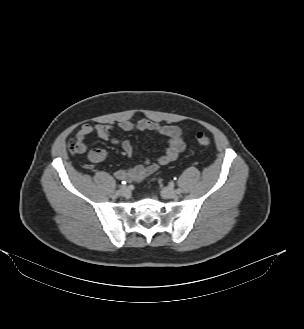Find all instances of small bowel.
<instances>
[{
	"instance_id": "c3829d8e",
	"label": "small bowel",
	"mask_w": 304,
	"mask_h": 329,
	"mask_svg": "<svg viewBox=\"0 0 304 329\" xmlns=\"http://www.w3.org/2000/svg\"><path fill=\"white\" fill-rule=\"evenodd\" d=\"M118 128L128 132L133 130L151 131L158 133L169 140L168 148L165 153L155 162H145L128 169H119L115 172V177L121 181H141L154 173L159 166L169 164L174 161L178 155L184 150L185 144L183 140L184 133L177 126L160 125L149 119H140L136 122L125 120L118 124ZM95 132L100 138L110 141L114 144H121L123 151L129 156H133V146L130 141H119L111 132V127L104 124H96L94 126L86 123L83 124L75 136V141L79 145L77 153H83L86 149V138ZM108 158V153L99 148H93L88 152V159L93 163H99Z\"/></svg>"
}]
</instances>
